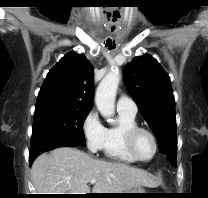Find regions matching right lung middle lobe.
Segmentation results:
<instances>
[{
  "mask_svg": "<svg viewBox=\"0 0 208 198\" xmlns=\"http://www.w3.org/2000/svg\"><path fill=\"white\" fill-rule=\"evenodd\" d=\"M90 109L56 105L35 110L31 147L54 139H66L85 146L83 123Z\"/></svg>",
  "mask_w": 208,
  "mask_h": 198,
  "instance_id": "1",
  "label": "right lung middle lobe"
}]
</instances>
